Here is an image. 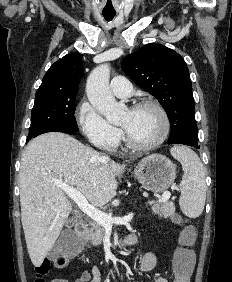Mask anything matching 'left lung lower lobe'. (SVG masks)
Masks as SVG:
<instances>
[{
    "instance_id": "0a47b994",
    "label": "left lung lower lobe",
    "mask_w": 232,
    "mask_h": 282,
    "mask_svg": "<svg viewBox=\"0 0 232 282\" xmlns=\"http://www.w3.org/2000/svg\"><path fill=\"white\" fill-rule=\"evenodd\" d=\"M198 140H183L181 139V137L172 131L171 136L169 138L168 144H184V145H188V146H193L195 148H199L198 146Z\"/></svg>"
}]
</instances>
